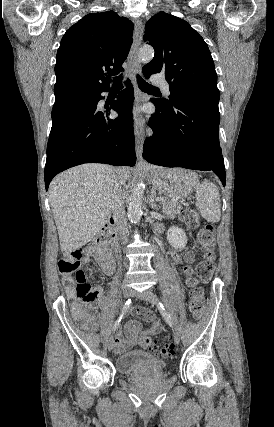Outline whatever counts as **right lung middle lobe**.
Wrapping results in <instances>:
<instances>
[{
    "label": "right lung middle lobe",
    "mask_w": 274,
    "mask_h": 427,
    "mask_svg": "<svg viewBox=\"0 0 274 427\" xmlns=\"http://www.w3.org/2000/svg\"><path fill=\"white\" fill-rule=\"evenodd\" d=\"M91 97H92V95L74 97V98L66 101L63 104H60V105H57V106H53V108H58V107H61V106L69 105V104L75 103V102L80 101V100L89 99Z\"/></svg>",
    "instance_id": "obj_1"
}]
</instances>
